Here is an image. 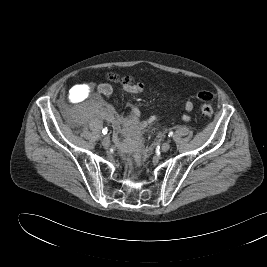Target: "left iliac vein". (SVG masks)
<instances>
[{"label": "left iliac vein", "mask_w": 267, "mask_h": 267, "mask_svg": "<svg viewBox=\"0 0 267 267\" xmlns=\"http://www.w3.org/2000/svg\"><path fill=\"white\" fill-rule=\"evenodd\" d=\"M170 149V143L169 142H164L161 146V151L162 152H167Z\"/></svg>", "instance_id": "4c4485c4"}]
</instances>
